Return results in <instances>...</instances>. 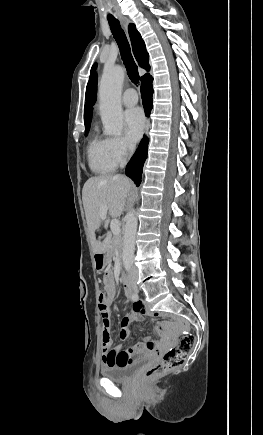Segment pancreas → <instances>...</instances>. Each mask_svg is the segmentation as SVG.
<instances>
[{
    "instance_id": "1",
    "label": "pancreas",
    "mask_w": 263,
    "mask_h": 435,
    "mask_svg": "<svg viewBox=\"0 0 263 435\" xmlns=\"http://www.w3.org/2000/svg\"><path fill=\"white\" fill-rule=\"evenodd\" d=\"M120 249H121V235H120V233L119 234H114L113 237H112V240H111V244H110L109 250H108L109 255L113 256L114 255V251L115 250L120 251Z\"/></svg>"
}]
</instances>
